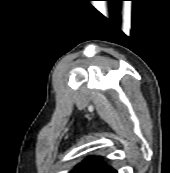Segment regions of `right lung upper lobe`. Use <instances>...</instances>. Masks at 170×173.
Instances as JSON below:
<instances>
[{
    "instance_id": "1",
    "label": "right lung upper lobe",
    "mask_w": 170,
    "mask_h": 173,
    "mask_svg": "<svg viewBox=\"0 0 170 173\" xmlns=\"http://www.w3.org/2000/svg\"><path fill=\"white\" fill-rule=\"evenodd\" d=\"M111 170H113V168L107 166L101 160V157H89L82 161L70 173H109Z\"/></svg>"
}]
</instances>
